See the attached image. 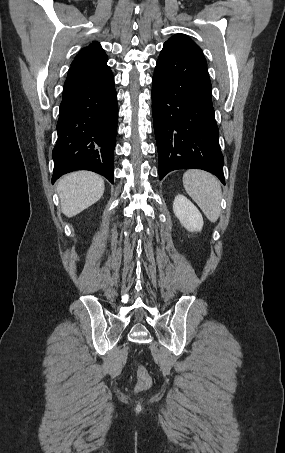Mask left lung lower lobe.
I'll list each match as a JSON object with an SVG mask.
<instances>
[{
	"label": "left lung lower lobe",
	"instance_id": "left-lung-lower-lobe-1",
	"mask_svg": "<svg viewBox=\"0 0 285 453\" xmlns=\"http://www.w3.org/2000/svg\"><path fill=\"white\" fill-rule=\"evenodd\" d=\"M152 113L160 180L173 170L202 169L225 184L206 62L163 46L153 76Z\"/></svg>",
	"mask_w": 285,
	"mask_h": 453
}]
</instances>
